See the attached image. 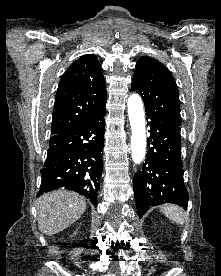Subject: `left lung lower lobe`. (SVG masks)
Returning <instances> with one entry per match:
<instances>
[{"label":"left lung lower lobe","instance_id":"1","mask_svg":"<svg viewBox=\"0 0 221 276\" xmlns=\"http://www.w3.org/2000/svg\"><path fill=\"white\" fill-rule=\"evenodd\" d=\"M150 137L142 169L134 175V196L140 217L152 206L173 203L184 208L188 192L183 181L180 127L147 116Z\"/></svg>","mask_w":221,"mask_h":276}]
</instances>
